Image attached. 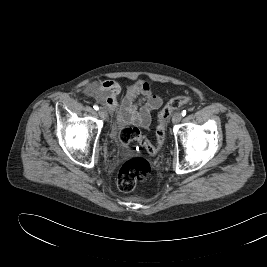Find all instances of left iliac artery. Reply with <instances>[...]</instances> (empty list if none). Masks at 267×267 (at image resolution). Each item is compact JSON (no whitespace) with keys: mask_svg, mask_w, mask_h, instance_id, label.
Segmentation results:
<instances>
[{"mask_svg":"<svg viewBox=\"0 0 267 267\" xmlns=\"http://www.w3.org/2000/svg\"><path fill=\"white\" fill-rule=\"evenodd\" d=\"M181 115H182V116H185V115H186V110H183V111L181 112Z\"/></svg>","mask_w":267,"mask_h":267,"instance_id":"1","label":"left iliac artery"}]
</instances>
